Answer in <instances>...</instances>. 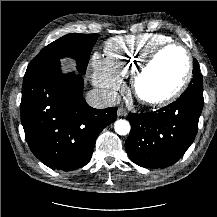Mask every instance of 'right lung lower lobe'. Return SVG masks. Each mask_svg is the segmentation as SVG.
Instances as JSON below:
<instances>
[{"instance_id": "obj_1", "label": "right lung lower lobe", "mask_w": 217, "mask_h": 217, "mask_svg": "<svg viewBox=\"0 0 217 217\" xmlns=\"http://www.w3.org/2000/svg\"><path fill=\"white\" fill-rule=\"evenodd\" d=\"M82 93V76L61 73L59 59L24 76L20 111L26 141L51 169L85 166L99 133L116 120L117 107L94 109Z\"/></svg>"}]
</instances>
